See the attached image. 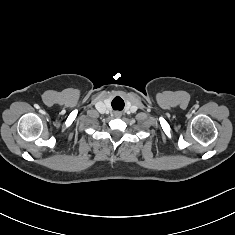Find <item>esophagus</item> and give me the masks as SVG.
I'll use <instances>...</instances> for the list:
<instances>
[{
  "mask_svg": "<svg viewBox=\"0 0 235 235\" xmlns=\"http://www.w3.org/2000/svg\"><path fill=\"white\" fill-rule=\"evenodd\" d=\"M120 116H121V114L119 112L115 113V117H120Z\"/></svg>",
  "mask_w": 235,
  "mask_h": 235,
  "instance_id": "1",
  "label": "esophagus"
}]
</instances>
